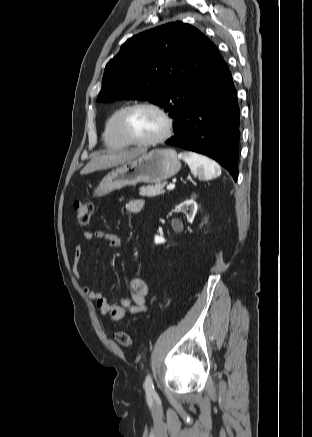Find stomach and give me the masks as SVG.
<instances>
[{
    "mask_svg": "<svg viewBox=\"0 0 312 437\" xmlns=\"http://www.w3.org/2000/svg\"><path fill=\"white\" fill-rule=\"evenodd\" d=\"M180 169L181 163L174 149H154L109 172L94 191V196H105L138 183H160Z\"/></svg>",
    "mask_w": 312,
    "mask_h": 437,
    "instance_id": "1",
    "label": "stomach"
}]
</instances>
